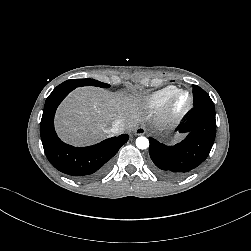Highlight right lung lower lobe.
<instances>
[{
  "instance_id": "obj_1",
  "label": "right lung lower lobe",
  "mask_w": 251,
  "mask_h": 251,
  "mask_svg": "<svg viewBox=\"0 0 251 251\" xmlns=\"http://www.w3.org/2000/svg\"><path fill=\"white\" fill-rule=\"evenodd\" d=\"M71 87H56L48 96L41 119V140L50 163L59 171L79 179L102 176L108 161L129 136L122 134L88 147H74L62 142L54 129V115L61 101L72 91Z\"/></svg>"
}]
</instances>
